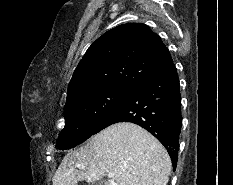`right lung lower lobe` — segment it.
I'll use <instances>...</instances> for the list:
<instances>
[{
  "label": "right lung lower lobe",
  "instance_id": "98d812e1",
  "mask_svg": "<svg viewBox=\"0 0 233 185\" xmlns=\"http://www.w3.org/2000/svg\"><path fill=\"white\" fill-rule=\"evenodd\" d=\"M122 121L136 123L152 133L167 149L175 171L182 116L179 79L173 63L132 88L95 133Z\"/></svg>",
  "mask_w": 233,
  "mask_h": 185
}]
</instances>
